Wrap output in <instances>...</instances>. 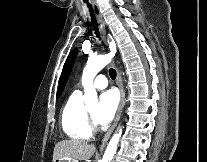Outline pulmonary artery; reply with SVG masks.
Wrapping results in <instances>:
<instances>
[{
  "label": "pulmonary artery",
  "instance_id": "pulmonary-artery-1",
  "mask_svg": "<svg viewBox=\"0 0 207 162\" xmlns=\"http://www.w3.org/2000/svg\"><path fill=\"white\" fill-rule=\"evenodd\" d=\"M93 85L97 89H104L108 85L107 78L104 75H97L93 81Z\"/></svg>",
  "mask_w": 207,
  "mask_h": 162
}]
</instances>
